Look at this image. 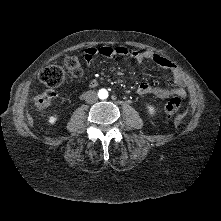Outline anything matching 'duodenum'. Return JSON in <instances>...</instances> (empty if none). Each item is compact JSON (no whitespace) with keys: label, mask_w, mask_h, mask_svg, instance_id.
Here are the masks:
<instances>
[{"label":"duodenum","mask_w":221,"mask_h":221,"mask_svg":"<svg viewBox=\"0 0 221 221\" xmlns=\"http://www.w3.org/2000/svg\"><path fill=\"white\" fill-rule=\"evenodd\" d=\"M96 84H97L96 80H93V81L91 82V85H92V86H95Z\"/></svg>","instance_id":"1"}]
</instances>
